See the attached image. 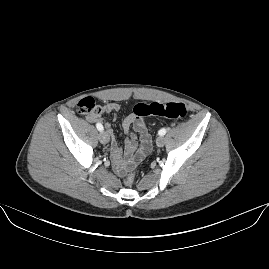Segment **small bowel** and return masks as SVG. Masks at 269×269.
Wrapping results in <instances>:
<instances>
[{"label": "small bowel", "mask_w": 269, "mask_h": 269, "mask_svg": "<svg viewBox=\"0 0 269 269\" xmlns=\"http://www.w3.org/2000/svg\"><path fill=\"white\" fill-rule=\"evenodd\" d=\"M119 109L120 105L116 102H108L103 106V112L105 113H116ZM89 119L95 121L97 116H91ZM145 128H147L146 123L134 115H128L124 118L122 121V130L125 134H130V136L125 141L124 156H122L115 141L113 129L110 124L107 123V133L111 138L110 156L113 168L118 174H123L128 167L142 161L147 156L143 153L141 146V141L143 139L142 132ZM131 130L137 133L140 137V147L136 154H134L136 149V137L131 133Z\"/></svg>", "instance_id": "obj_1"}]
</instances>
